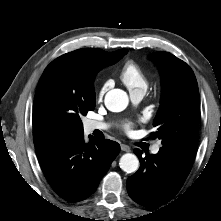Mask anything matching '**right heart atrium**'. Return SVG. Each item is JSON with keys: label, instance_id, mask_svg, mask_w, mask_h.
<instances>
[{"label": "right heart atrium", "instance_id": "obj_1", "mask_svg": "<svg viewBox=\"0 0 221 221\" xmlns=\"http://www.w3.org/2000/svg\"><path fill=\"white\" fill-rule=\"evenodd\" d=\"M109 81L105 82L102 87L100 88V91L98 92V98H102L106 89L109 87Z\"/></svg>", "mask_w": 221, "mask_h": 221}]
</instances>
